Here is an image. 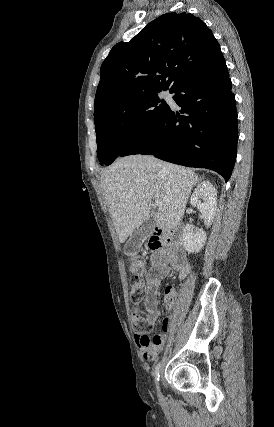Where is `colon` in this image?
Wrapping results in <instances>:
<instances>
[{"mask_svg":"<svg viewBox=\"0 0 274 427\" xmlns=\"http://www.w3.org/2000/svg\"><path fill=\"white\" fill-rule=\"evenodd\" d=\"M136 260H137L136 255H132L130 257L131 264H133ZM140 277H141V274H137V276L133 277L130 280V291L132 293L131 300L135 306L134 310L131 313V318L133 321L134 329L142 331V333H147V339L151 340V358H152V338L150 337L149 332L152 330L153 324L148 316H146L136 308L138 305L141 304L143 300L142 294L138 292V285L141 280ZM172 291H173L172 287L167 286L165 288V295L167 297H171L173 295Z\"/></svg>","mask_w":274,"mask_h":427,"instance_id":"5ec220e1","label":"colon"}]
</instances>
